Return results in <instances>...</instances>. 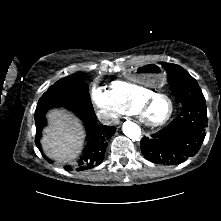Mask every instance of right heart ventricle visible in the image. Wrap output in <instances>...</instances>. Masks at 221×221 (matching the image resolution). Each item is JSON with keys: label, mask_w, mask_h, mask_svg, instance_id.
<instances>
[{"label": "right heart ventricle", "mask_w": 221, "mask_h": 221, "mask_svg": "<svg viewBox=\"0 0 221 221\" xmlns=\"http://www.w3.org/2000/svg\"><path fill=\"white\" fill-rule=\"evenodd\" d=\"M110 93L126 112L132 113L138 103L154 91L136 82L116 80L110 85Z\"/></svg>", "instance_id": "obj_1"}]
</instances>
